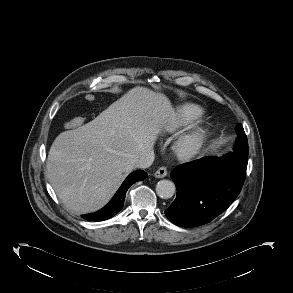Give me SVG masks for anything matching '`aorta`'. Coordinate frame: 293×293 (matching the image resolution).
I'll use <instances>...</instances> for the list:
<instances>
[{
	"label": "aorta",
	"mask_w": 293,
	"mask_h": 293,
	"mask_svg": "<svg viewBox=\"0 0 293 293\" xmlns=\"http://www.w3.org/2000/svg\"><path fill=\"white\" fill-rule=\"evenodd\" d=\"M176 191L175 184L170 180H160L156 185V193L162 199L171 198Z\"/></svg>",
	"instance_id": "1"
}]
</instances>
